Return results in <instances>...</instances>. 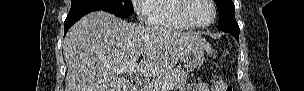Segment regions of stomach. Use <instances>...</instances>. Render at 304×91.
Here are the masks:
<instances>
[{
  "label": "stomach",
  "mask_w": 304,
  "mask_h": 91,
  "mask_svg": "<svg viewBox=\"0 0 304 91\" xmlns=\"http://www.w3.org/2000/svg\"><path fill=\"white\" fill-rule=\"evenodd\" d=\"M205 53H211V49L203 44H194L188 47L181 59L186 62L191 69L199 68L205 61Z\"/></svg>",
  "instance_id": "obj_1"
}]
</instances>
